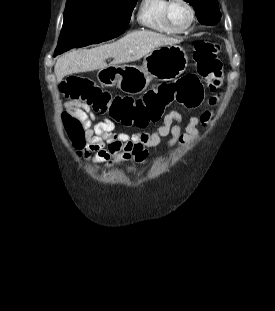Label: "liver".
Instances as JSON below:
<instances>
[{"instance_id": "1", "label": "liver", "mask_w": 275, "mask_h": 311, "mask_svg": "<svg viewBox=\"0 0 275 311\" xmlns=\"http://www.w3.org/2000/svg\"><path fill=\"white\" fill-rule=\"evenodd\" d=\"M177 39L153 31H134L118 41L88 50H74L61 56L55 64L57 82L73 73L94 71L108 67L105 60L112 57L111 65L137 61L154 49L176 44Z\"/></svg>"}]
</instances>
